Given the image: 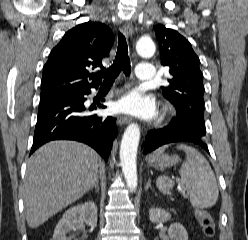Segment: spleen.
I'll use <instances>...</instances> for the list:
<instances>
[{"label": "spleen", "instance_id": "3e777b00", "mask_svg": "<svg viewBox=\"0 0 248 240\" xmlns=\"http://www.w3.org/2000/svg\"><path fill=\"white\" fill-rule=\"evenodd\" d=\"M177 148L186 153V161L179 173L180 182L189 195L191 205L199 209L212 207L218 200L219 190L215 174L208 161L190 146L181 144ZM173 186L174 181L170 178L166 176L157 178V187L161 192L171 195Z\"/></svg>", "mask_w": 248, "mask_h": 240}]
</instances>
